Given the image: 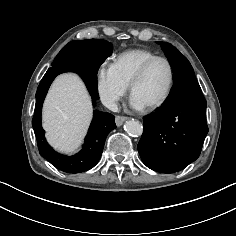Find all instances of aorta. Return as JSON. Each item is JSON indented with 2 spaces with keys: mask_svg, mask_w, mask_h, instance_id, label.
<instances>
[{
  "mask_svg": "<svg viewBox=\"0 0 236 236\" xmlns=\"http://www.w3.org/2000/svg\"><path fill=\"white\" fill-rule=\"evenodd\" d=\"M124 129L131 136H140L143 132L142 124L134 120L126 121Z\"/></svg>",
  "mask_w": 236,
  "mask_h": 236,
  "instance_id": "1",
  "label": "aorta"
}]
</instances>
